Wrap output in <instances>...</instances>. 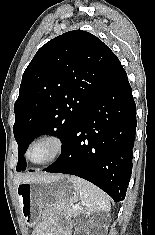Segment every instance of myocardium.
Listing matches in <instances>:
<instances>
[{
    "instance_id": "f54148a6",
    "label": "myocardium",
    "mask_w": 155,
    "mask_h": 235,
    "mask_svg": "<svg viewBox=\"0 0 155 235\" xmlns=\"http://www.w3.org/2000/svg\"><path fill=\"white\" fill-rule=\"evenodd\" d=\"M40 142H52L55 145V151L52 154V156H50L48 159L42 162H35L30 158V152L32 148ZM66 149H67V142H66V139L62 135L57 134V133H47V134L38 136L37 138L31 141V143L27 147L25 157L27 161H29L30 163L34 165L44 166V165L51 164L57 161L58 159H60L65 154Z\"/></svg>"
}]
</instances>
